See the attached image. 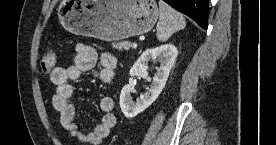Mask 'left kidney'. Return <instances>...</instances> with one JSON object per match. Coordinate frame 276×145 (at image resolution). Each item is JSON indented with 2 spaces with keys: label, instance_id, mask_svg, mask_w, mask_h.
Wrapping results in <instances>:
<instances>
[{
  "label": "left kidney",
  "instance_id": "1",
  "mask_svg": "<svg viewBox=\"0 0 276 145\" xmlns=\"http://www.w3.org/2000/svg\"><path fill=\"white\" fill-rule=\"evenodd\" d=\"M178 55L177 48L173 44H165L159 47L145 50L139 59L130 69V76H140L148 78V63L158 59L160 67L152 78L150 89L140 96L136 102H133L131 93L134 87L131 83L125 85L120 94V107L127 118H133L148 108L159 96L165 87L171 68L174 65Z\"/></svg>",
  "mask_w": 276,
  "mask_h": 145
}]
</instances>
